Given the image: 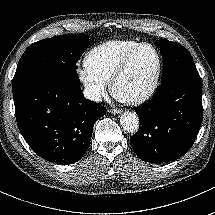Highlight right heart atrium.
Segmentation results:
<instances>
[{
    "label": "right heart atrium",
    "instance_id": "d8ad5b80",
    "mask_svg": "<svg viewBox=\"0 0 215 215\" xmlns=\"http://www.w3.org/2000/svg\"><path fill=\"white\" fill-rule=\"evenodd\" d=\"M77 77L86 96L93 102H100L107 93L106 84L90 76L85 70H77Z\"/></svg>",
    "mask_w": 215,
    "mask_h": 215
}]
</instances>
